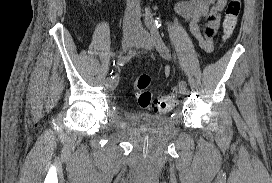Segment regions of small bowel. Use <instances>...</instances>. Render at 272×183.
Masks as SVG:
<instances>
[{
  "mask_svg": "<svg viewBox=\"0 0 272 183\" xmlns=\"http://www.w3.org/2000/svg\"><path fill=\"white\" fill-rule=\"evenodd\" d=\"M228 0H180L176 4L177 12L186 20L189 30L196 39L199 48L205 53L214 50L213 36L217 35L220 26L221 11ZM205 19L204 28L201 20ZM170 69H165L168 75Z\"/></svg>",
  "mask_w": 272,
  "mask_h": 183,
  "instance_id": "c3829d8e",
  "label": "small bowel"
}]
</instances>
